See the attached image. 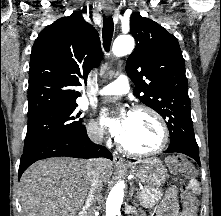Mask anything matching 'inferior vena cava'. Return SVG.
I'll return each mask as SVG.
<instances>
[{"mask_svg": "<svg viewBox=\"0 0 221 216\" xmlns=\"http://www.w3.org/2000/svg\"><path fill=\"white\" fill-rule=\"evenodd\" d=\"M103 138V132L101 130H96L91 134V139L95 143H101ZM87 175L90 183V190L86 199V216H94L95 212V200L96 195L100 194L102 190V181L100 177V172L95 168L94 163H89L87 167Z\"/></svg>", "mask_w": 221, "mask_h": 216, "instance_id": "1", "label": "inferior vena cava"}]
</instances>
